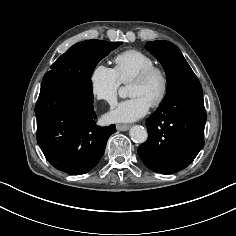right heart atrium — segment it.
<instances>
[{
  "instance_id": "d8ad5b80",
  "label": "right heart atrium",
  "mask_w": 236,
  "mask_h": 236,
  "mask_svg": "<svg viewBox=\"0 0 236 236\" xmlns=\"http://www.w3.org/2000/svg\"><path fill=\"white\" fill-rule=\"evenodd\" d=\"M89 87L92 95L109 104L116 101L121 81L114 68L103 63L95 64L88 76Z\"/></svg>"
}]
</instances>
